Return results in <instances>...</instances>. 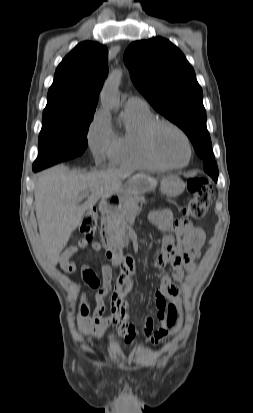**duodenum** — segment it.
I'll list each match as a JSON object with an SVG mask.
<instances>
[{
  "label": "duodenum",
  "instance_id": "duodenum-1",
  "mask_svg": "<svg viewBox=\"0 0 253 413\" xmlns=\"http://www.w3.org/2000/svg\"><path fill=\"white\" fill-rule=\"evenodd\" d=\"M99 208L102 213H108L114 209V206L108 199H104L100 202ZM101 234L104 239V242L106 243L107 251L112 256H119L121 253V248L115 241L111 230L107 227H103Z\"/></svg>",
  "mask_w": 253,
  "mask_h": 413
}]
</instances>
